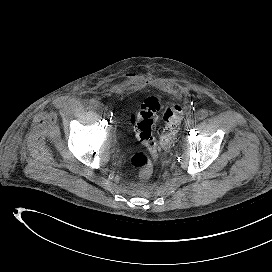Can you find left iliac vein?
Listing matches in <instances>:
<instances>
[{"instance_id":"1","label":"left iliac vein","mask_w":272,"mask_h":272,"mask_svg":"<svg viewBox=\"0 0 272 272\" xmlns=\"http://www.w3.org/2000/svg\"><path fill=\"white\" fill-rule=\"evenodd\" d=\"M195 122H196V119H195V118L189 117V118L187 119V121H186L187 128H188V127L190 128L191 126H193Z\"/></svg>"}]
</instances>
